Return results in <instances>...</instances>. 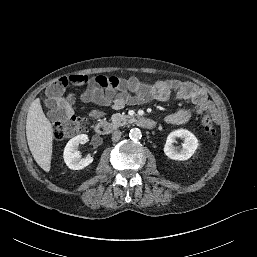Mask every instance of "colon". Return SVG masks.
<instances>
[{
    "label": "colon",
    "instance_id": "1",
    "mask_svg": "<svg viewBox=\"0 0 257 257\" xmlns=\"http://www.w3.org/2000/svg\"><path fill=\"white\" fill-rule=\"evenodd\" d=\"M88 81L89 78L86 75L60 77L55 80L48 89L51 95L61 96L69 83L75 85H85L88 83ZM58 116L59 119L53 128V135L55 139L66 140L86 130L87 121L85 119L76 117L73 114L71 95L63 98L58 103ZM201 126L203 131L210 137L215 135V126L208 111H205L203 114Z\"/></svg>",
    "mask_w": 257,
    "mask_h": 257
}]
</instances>
